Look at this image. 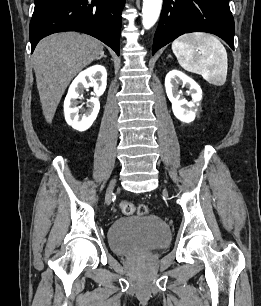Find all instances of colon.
Returning a JSON list of instances; mask_svg holds the SVG:
<instances>
[{"label": "colon", "instance_id": "obj_1", "mask_svg": "<svg viewBox=\"0 0 261 306\" xmlns=\"http://www.w3.org/2000/svg\"><path fill=\"white\" fill-rule=\"evenodd\" d=\"M121 211L125 215H144L148 213V208L145 205H135L129 201H123L121 203Z\"/></svg>", "mask_w": 261, "mask_h": 306}]
</instances>
